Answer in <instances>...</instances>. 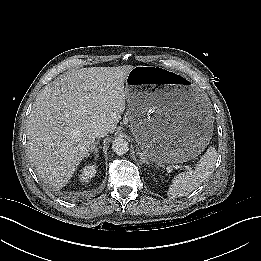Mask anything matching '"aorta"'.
I'll list each match as a JSON object with an SVG mask.
<instances>
[{"label": "aorta", "instance_id": "762f6f07", "mask_svg": "<svg viewBox=\"0 0 261 261\" xmlns=\"http://www.w3.org/2000/svg\"><path fill=\"white\" fill-rule=\"evenodd\" d=\"M112 150L117 155L126 154L129 150V144L125 139L117 138L113 141Z\"/></svg>", "mask_w": 261, "mask_h": 261}]
</instances>
